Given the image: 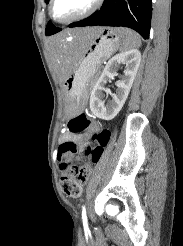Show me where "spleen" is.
I'll return each mask as SVG.
<instances>
[{"label": "spleen", "instance_id": "3e777b00", "mask_svg": "<svg viewBox=\"0 0 183 246\" xmlns=\"http://www.w3.org/2000/svg\"><path fill=\"white\" fill-rule=\"evenodd\" d=\"M122 35L124 36V41L122 43V49H129V48H136L141 46V40L139 36L129 30V29H123ZM90 64V60L86 59L82 64L80 69L85 70Z\"/></svg>", "mask_w": 183, "mask_h": 246}]
</instances>
